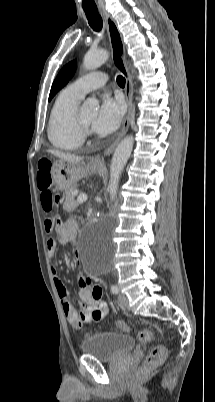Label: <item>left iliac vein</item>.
I'll return each mask as SVG.
<instances>
[{"instance_id":"4c4485c4","label":"left iliac vein","mask_w":215,"mask_h":402,"mask_svg":"<svg viewBox=\"0 0 215 402\" xmlns=\"http://www.w3.org/2000/svg\"><path fill=\"white\" fill-rule=\"evenodd\" d=\"M118 301H119L120 305H121L123 308H128L129 302H128V298H127L126 295H124V294H119V295H118Z\"/></svg>"}]
</instances>
